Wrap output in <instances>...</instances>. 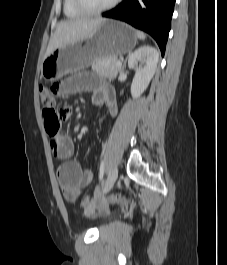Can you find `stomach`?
Returning a JSON list of instances; mask_svg holds the SVG:
<instances>
[{
  "label": "stomach",
  "instance_id": "0dacf381",
  "mask_svg": "<svg viewBox=\"0 0 227 265\" xmlns=\"http://www.w3.org/2000/svg\"><path fill=\"white\" fill-rule=\"evenodd\" d=\"M136 43V33L129 25L106 20L91 36L52 51L41 64V75L49 81L58 80L99 59H117L130 52Z\"/></svg>",
  "mask_w": 227,
  "mask_h": 265
}]
</instances>
